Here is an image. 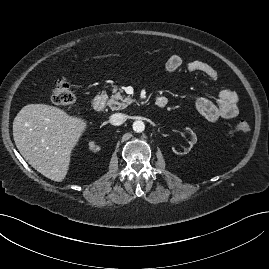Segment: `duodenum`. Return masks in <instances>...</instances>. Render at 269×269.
Masks as SVG:
<instances>
[{
    "mask_svg": "<svg viewBox=\"0 0 269 269\" xmlns=\"http://www.w3.org/2000/svg\"><path fill=\"white\" fill-rule=\"evenodd\" d=\"M167 98L164 96L157 97L155 105L159 109H163L167 105ZM106 104V98L103 95H96L92 99V108L95 111H101L104 109Z\"/></svg>",
    "mask_w": 269,
    "mask_h": 269,
    "instance_id": "duodenum-1",
    "label": "duodenum"
}]
</instances>
